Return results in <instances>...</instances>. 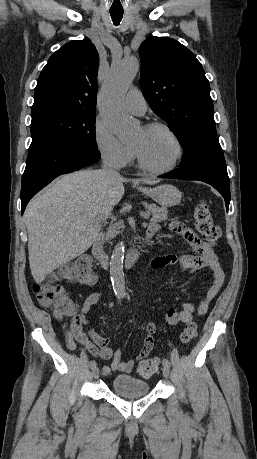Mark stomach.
Instances as JSON below:
<instances>
[{"label": "stomach", "instance_id": "0dacf381", "mask_svg": "<svg viewBox=\"0 0 257 459\" xmlns=\"http://www.w3.org/2000/svg\"><path fill=\"white\" fill-rule=\"evenodd\" d=\"M139 190L164 207H172L179 204L182 197L181 192L170 184H164L154 188L140 187Z\"/></svg>", "mask_w": 257, "mask_h": 459}]
</instances>
